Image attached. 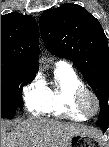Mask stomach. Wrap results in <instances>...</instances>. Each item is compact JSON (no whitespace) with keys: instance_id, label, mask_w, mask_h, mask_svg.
Wrapping results in <instances>:
<instances>
[{"instance_id":"1","label":"stomach","mask_w":109,"mask_h":147,"mask_svg":"<svg viewBox=\"0 0 109 147\" xmlns=\"http://www.w3.org/2000/svg\"><path fill=\"white\" fill-rule=\"evenodd\" d=\"M105 143L101 138L92 137L89 135H74L71 138L69 147H104Z\"/></svg>"}]
</instances>
